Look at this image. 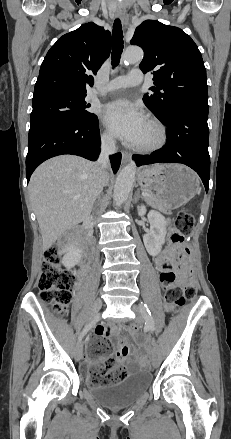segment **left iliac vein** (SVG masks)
Segmentation results:
<instances>
[{
    "mask_svg": "<svg viewBox=\"0 0 231 439\" xmlns=\"http://www.w3.org/2000/svg\"><path fill=\"white\" fill-rule=\"evenodd\" d=\"M132 309L136 313V317H135L136 322L139 324L143 323L144 322L143 318L145 314V309L143 308V306L134 305ZM151 361L154 367H158L160 364V351L154 339H153V350L151 355Z\"/></svg>",
    "mask_w": 231,
    "mask_h": 439,
    "instance_id": "left-iliac-vein-1",
    "label": "left iliac vein"
}]
</instances>
